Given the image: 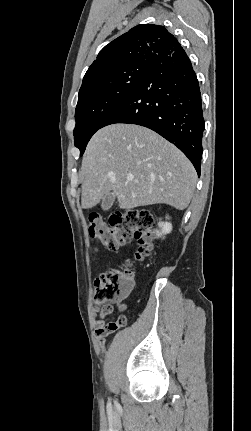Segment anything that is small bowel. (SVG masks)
<instances>
[{
	"label": "small bowel",
	"mask_w": 251,
	"mask_h": 431,
	"mask_svg": "<svg viewBox=\"0 0 251 431\" xmlns=\"http://www.w3.org/2000/svg\"><path fill=\"white\" fill-rule=\"evenodd\" d=\"M109 312L104 310L103 308L100 309L99 307H95L93 310V316H94V328L95 333L98 341L102 344L105 340V337L108 336L110 333H112L115 330H111L108 328L109 323L107 324L105 321V316L108 315ZM102 352H107V347H102Z\"/></svg>",
	"instance_id": "obj_1"
}]
</instances>
